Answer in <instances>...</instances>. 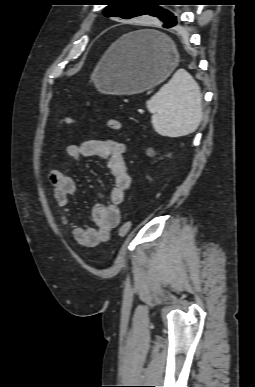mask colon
Wrapping results in <instances>:
<instances>
[{"label": "colon", "mask_w": 255, "mask_h": 387, "mask_svg": "<svg viewBox=\"0 0 255 387\" xmlns=\"http://www.w3.org/2000/svg\"><path fill=\"white\" fill-rule=\"evenodd\" d=\"M66 122H70V119H66ZM106 125L109 129L113 131H120L122 129V124L117 119H108ZM131 229V223L126 221L122 223L118 228V235L120 237H125Z\"/></svg>", "instance_id": "1"}]
</instances>
